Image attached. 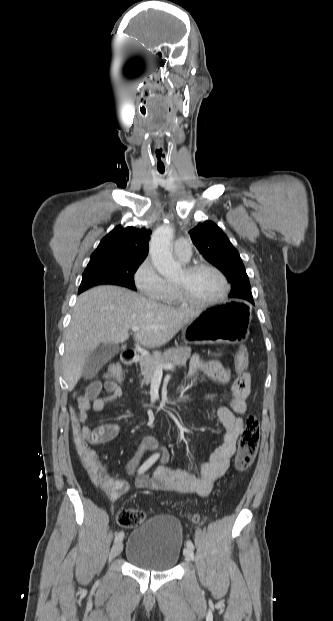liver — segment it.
<instances>
[{
	"label": "liver",
	"mask_w": 333,
	"mask_h": 621,
	"mask_svg": "<svg viewBox=\"0 0 333 621\" xmlns=\"http://www.w3.org/2000/svg\"><path fill=\"white\" fill-rule=\"evenodd\" d=\"M200 313L159 304L116 286H99L82 293L66 332L63 377L68 389L75 387L100 344L124 342L129 329L138 326L136 341L147 348L162 346Z\"/></svg>",
	"instance_id": "obj_1"
}]
</instances>
